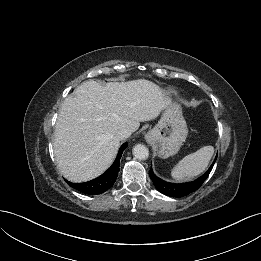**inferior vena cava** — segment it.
I'll use <instances>...</instances> for the list:
<instances>
[{
  "label": "inferior vena cava",
  "mask_w": 261,
  "mask_h": 261,
  "mask_svg": "<svg viewBox=\"0 0 261 261\" xmlns=\"http://www.w3.org/2000/svg\"><path fill=\"white\" fill-rule=\"evenodd\" d=\"M132 131L130 129H121L119 132H118V137L121 139V140H124L128 137H130Z\"/></svg>",
  "instance_id": "obj_1"
}]
</instances>
